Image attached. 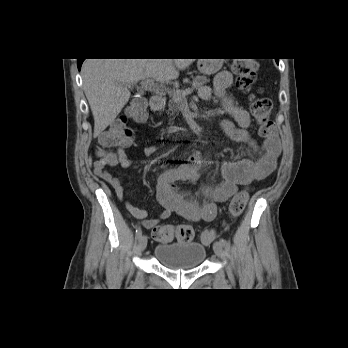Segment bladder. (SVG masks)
<instances>
[{
	"instance_id": "31cf9c89",
	"label": "bladder",
	"mask_w": 348,
	"mask_h": 348,
	"mask_svg": "<svg viewBox=\"0 0 348 348\" xmlns=\"http://www.w3.org/2000/svg\"><path fill=\"white\" fill-rule=\"evenodd\" d=\"M154 256L170 269L187 270L204 262L206 249L198 242H171L157 245Z\"/></svg>"
}]
</instances>
